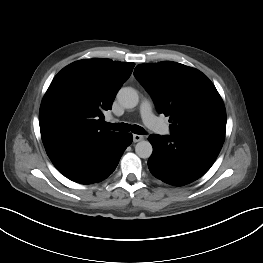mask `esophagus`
<instances>
[{"label":"esophagus","mask_w":263,"mask_h":263,"mask_svg":"<svg viewBox=\"0 0 263 263\" xmlns=\"http://www.w3.org/2000/svg\"><path fill=\"white\" fill-rule=\"evenodd\" d=\"M141 140H143V136L138 134H133V142H139Z\"/></svg>","instance_id":"obj_1"}]
</instances>
